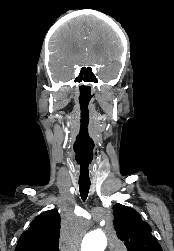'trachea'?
I'll return each mask as SVG.
<instances>
[{
    "instance_id": "trachea-1",
    "label": "trachea",
    "mask_w": 174,
    "mask_h": 251,
    "mask_svg": "<svg viewBox=\"0 0 174 251\" xmlns=\"http://www.w3.org/2000/svg\"><path fill=\"white\" fill-rule=\"evenodd\" d=\"M90 182H79L80 195L83 201L88 197Z\"/></svg>"
}]
</instances>
